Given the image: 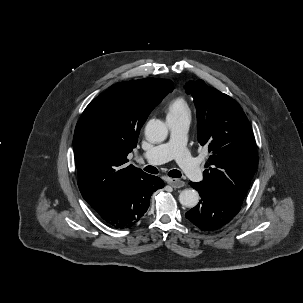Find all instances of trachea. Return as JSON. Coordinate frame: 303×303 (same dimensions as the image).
I'll return each mask as SVG.
<instances>
[{
  "mask_svg": "<svg viewBox=\"0 0 303 303\" xmlns=\"http://www.w3.org/2000/svg\"><path fill=\"white\" fill-rule=\"evenodd\" d=\"M144 170L148 173L151 174H157L158 170L154 167V166H146L144 167ZM168 176L172 177V178H180L181 177V172L178 170H171L168 173Z\"/></svg>",
  "mask_w": 303,
  "mask_h": 303,
  "instance_id": "obj_1",
  "label": "trachea"
}]
</instances>
